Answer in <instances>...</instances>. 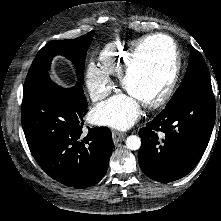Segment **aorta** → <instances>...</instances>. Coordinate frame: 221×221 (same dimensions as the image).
Returning a JSON list of instances; mask_svg holds the SVG:
<instances>
[{
    "mask_svg": "<svg viewBox=\"0 0 221 221\" xmlns=\"http://www.w3.org/2000/svg\"><path fill=\"white\" fill-rule=\"evenodd\" d=\"M126 146L130 150H138L141 146V139L136 135H130L126 139Z\"/></svg>",
    "mask_w": 221,
    "mask_h": 221,
    "instance_id": "aorta-1",
    "label": "aorta"
}]
</instances>
